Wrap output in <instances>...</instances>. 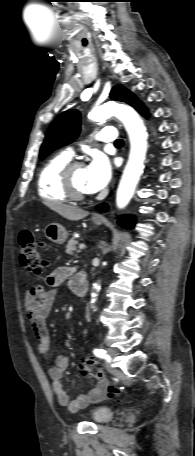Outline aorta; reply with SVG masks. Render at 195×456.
I'll list each match as a JSON object with an SVG mask.
<instances>
[{
  "mask_svg": "<svg viewBox=\"0 0 195 456\" xmlns=\"http://www.w3.org/2000/svg\"><path fill=\"white\" fill-rule=\"evenodd\" d=\"M111 116L121 120L130 140V153L123 171L116 195V204L124 208L131 200L144 168L147 151V132L143 121L130 106L108 102L93 109L89 118L92 121H102Z\"/></svg>",
  "mask_w": 195,
  "mask_h": 456,
  "instance_id": "1",
  "label": "aorta"
}]
</instances>
